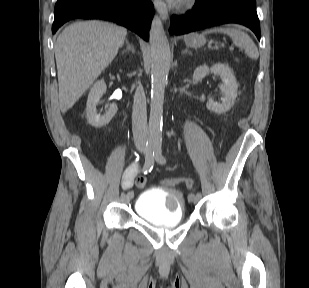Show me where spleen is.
Wrapping results in <instances>:
<instances>
[{
    "mask_svg": "<svg viewBox=\"0 0 309 288\" xmlns=\"http://www.w3.org/2000/svg\"><path fill=\"white\" fill-rule=\"evenodd\" d=\"M209 33H225L229 35L234 45L244 49L245 54L251 59H258L259 53L256 45L252 39L243 31L234 28H213L203 32L204 34Z\"/></svg>",
    "mask_w": 309,
    "mask_h": 288,
    "instance_id": "spleen-1",
    "label": "spleen"
}]
</instances>
